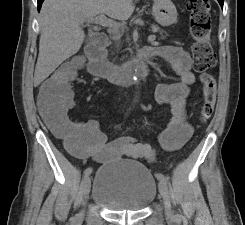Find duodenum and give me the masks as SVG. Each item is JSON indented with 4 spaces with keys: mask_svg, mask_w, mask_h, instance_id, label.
Here are the masks:
<instances>
[{
    "mask_svg": "<svg viewBox=\"0 0 245 225\" xmlns=\"http://www.w3.org/2000/svg\"><path fill=\"white\" fill-rule=\"evenodd\" d=\"M106 43L107 36L100 34L93 42L86 45L88 70L91 74L108 78L116 83L130 84L136 76L148 72L152 60L151 52H145L126 64H113L106 61Z\"/></svg>",
    "mask_w": 245,
    "mask_h": 225,
    "instance_id": "obj_1",
    "label": "duodenum"
}]
</instances>
